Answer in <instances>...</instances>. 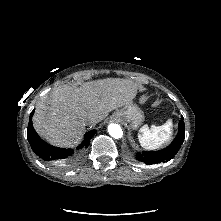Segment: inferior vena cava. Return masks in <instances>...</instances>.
I'll return each mask as SVG.
<instances>
[{"label":"inferior vena cava","instance_id":"1","mask_svg":"<svg viewBox=\"0 0 221 221\" xmlns=\"http://www.w3.org/2000/svg\"><path fill=\"white\" fill-rule=\"evenodd\" d=\"M86 125H92L93 121L91 119H86L84 122Z\"/></svg>","mask_w":221,"mask_h":221}]
</instances>
